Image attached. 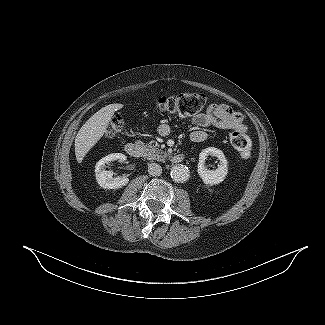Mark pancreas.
<instances>
[{
  "mask_svg": "<svg viewBox=\"0 0 325 325\" xmlns=\"http://www.w3.org/2000/svg\"><path fill=\"white\" fill-rule=\"evenodd\" d=\"M143 157L148 160L164 161L167 158V154L159 148L158 144H146L143 147Z\"/></svg>",
  "mask_w": 325,
  "mask_h": 325,
  "instance_id": "pancreas-1",
  "label": "pancreas"
}]
</instances>
